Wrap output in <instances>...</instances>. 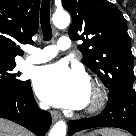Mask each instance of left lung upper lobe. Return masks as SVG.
<instances>
[{
  "instance_id": "1",
  "label": "left lung upper lobe",
  "mask_w": 136,
  "mask_h": 136,
  "mask_svg": "<svg viewBox=\"0 0 136 136\" xmlns=\"http://www.w3.org/2000/svg\"><path fill=\"white\" fill-rule=\"evenodd\" d=\"M73 21L68 30L79 46L83 62L110 90L133 88V55L126 20L107 0H62Z\"/></svg>"
}]
</instances>
